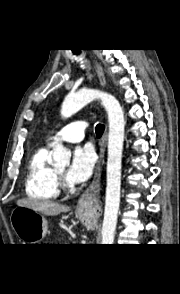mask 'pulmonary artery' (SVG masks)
<instances>
[{"label": "pulmonary artery", "instance_id": "e3ab8cb5", "mask_svg": "<svg viewBox=\"0 0 180 294\" xmlns=\"http://www.w3.org/2000/svg\"><path fill=\"white\" fill-rule=\"evenodd\" d=\"M86 127L85 121L69 123L50 138L49 145L53 144L54 141L80 142L84 138Z\"/></svg>", "mask_w": 180, "mask_h": 294}]
</instances>
